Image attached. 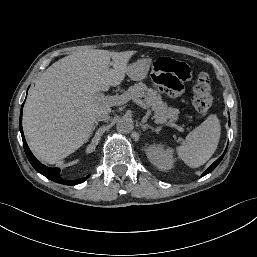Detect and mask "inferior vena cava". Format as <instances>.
<instances>
[{
	"label": "inferior vena cava",
	"mask_w": 257,
	"mask_h": 257,
	"mask_svg": "<svg viewBox=\"0 0 257 257\" xmlns=\"http://www.w3.org/2000/svg\"><path fill=\"white\" fill-rule=\"evenodd\" d=\"M110 119V116L108 113L106 112H102V113H99L97 116H96V121H104V122H107L109 121Z\"/></svg>",
	"instance_id": "1"
}]
</instances>
